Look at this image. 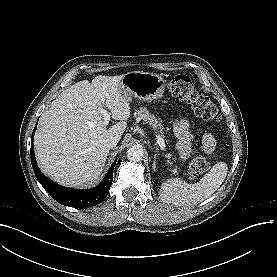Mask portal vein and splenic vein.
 I'll use <instances>...</instances> for the list:
<instances>
[{
	"instance_id": "portal-vein-and-splenic-vein-1",
	"label": "portal vein and splenic vein",
	"mask_w": 277,
	"mask_h": 277,
	"mask_svg": "<svg viewBox=\"0 0 277 277\" xmlns=\"http://www.w3.org/2000/svg\"><path fill=\"white\" fill-rule=\"evenodd\" d=\"M101 113H102V115L104 117L103 124H104V126H107L108 123H109L110 115L111 114L109 112H107L105 109H102ZM156 139H157V143L160 146L161 150H164L165 149V142H164V140L161 138L160 135H156Z\"/></svg>"
}]
</instances>
